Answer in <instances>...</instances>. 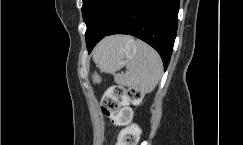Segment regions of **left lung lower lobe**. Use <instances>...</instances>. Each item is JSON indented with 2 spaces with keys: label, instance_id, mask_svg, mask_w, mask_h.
Masks as SVG:
<instances>
[{
  "label": "left lung lower lobe",
  "instance_id": "1",
  "mask_svg": "<svg viewBox=\"0 0 243 145\" xmlns=\"http://www.w3.org/2000/svg\"><path fill=\"white\" fill-rule=\"evenodd\" d=\"M178 10L179 0H126L109 25L104 27L97 21L87 25V49L91 52L107 35L130 34L156 49L166 69L176 37Z\"/></svg>",
  "mask_w": 243,
  "mask_h": 145
}]
</instances>
